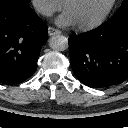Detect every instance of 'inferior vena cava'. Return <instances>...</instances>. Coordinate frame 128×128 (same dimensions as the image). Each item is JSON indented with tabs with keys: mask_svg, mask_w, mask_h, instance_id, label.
<instances>
[{
	"mask_svg": "<svg viewBox=\"0 0 128 128\" xmlns=\"http://www.w3.org/2000/svg\"><path fill=\"white\" fill-rule=\"evenodd\" d=\"M35 7H36V10L42 15L49 16L52 14L51 8L46 4L40 3V4H37Z\"/></svg>",
	"mask_w": 128,
	"mask_h": 128,
	"instance_id": "1",
	"label": "inferior vena cava"
}]
</instances>
